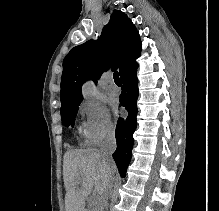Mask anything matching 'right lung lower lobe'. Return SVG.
Instances as JSON below:
<instances>
[{
	"label": "right lung lower lobe",
	"instance_id": "1",
	"mask_svg": "<svg viewBox=\"0 0 219 211\" xmlns=\"http://www.w3.org/2000/svg\"><path fill=\"white\" fill-rule=\"evenodd\" d=\"M138 64L127 69L121 76L123 83L120 95V104L125 107L129 115L124 120L119 118L116 126L117 149L113 153V158L117 164L121 177H125V172L129 165L134 143L133 133L137 126V106L138 98V79L136 71Z\"/></svg>",
	"mask_w": 219,
	"mask_h": 211
}]
</instances>
